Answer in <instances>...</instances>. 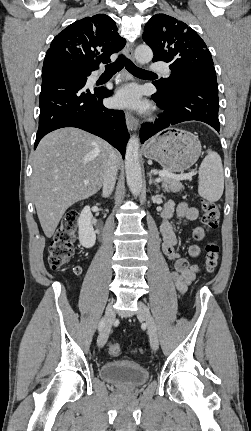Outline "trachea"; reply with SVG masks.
<instances>
[{
  "instance_id": "obj_1",
  "label": "trachea",
  "mask_w": 251,
  "mask_h": 431,
  "mask_svg": "<svg viewBox=\"0 0 251 431\" xmlns=\"http://www.w3.org/2000/svg\"><path fill=\"white\" fill-rule=\"evenodd\" d=\"M124 66L131 74L135 76L154 74L153 72H149L135 66L134 63L131 60L127 59L124 55H120L114 63L106 65L105 73L113 75L116 72H119Z\"/></svg>"
}]
</instances>
